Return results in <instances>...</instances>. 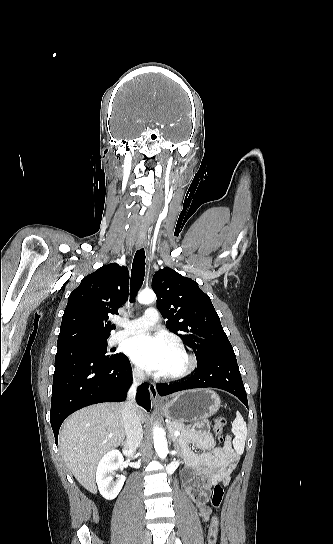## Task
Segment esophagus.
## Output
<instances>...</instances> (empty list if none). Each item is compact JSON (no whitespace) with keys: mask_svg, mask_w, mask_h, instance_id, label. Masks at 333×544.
<instances>
[{"mask_svg":"<svg viewBox=\"0 0 333 544\" xmlns=\"http://www.w3.org/2000/svg\"><path fill=\"white\" fill-rule=\"evenodd\" d=\"M145 246H146V238L145 236L141 235L137 241V248L141 249V248H145ZM149 393H150L151 401L153 404H159L162 402L158 394L157 387L153 382L149 383Z\"/></svg>","mask_w":333,"mask_h":544,"instance_id":"obj_1","label":"esophagus"}]
</instances>
